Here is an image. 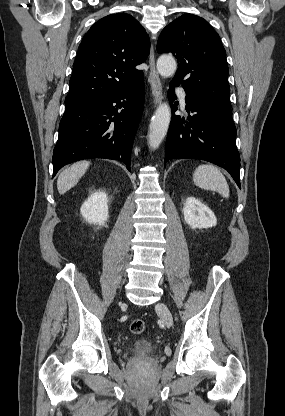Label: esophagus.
I'll list each match as a JSON object with an SVG mask.
<instances>
[{
	"label": "esophagus",
	"mask_w": 285,
	"mask_h": 416,
	"mask_svg": "<svg viewBox=\"0 0 285 416\" xmlns=\"http://www.w3.org/2000/svg\"><path fill=\"white\" fill-rule=\"evenodd\" d=\"M148 83L150 84L153 103L154 105H158L163 98V91H162L161 80L156 70L153 47L151 48V52L149 56Z\"/></svg>",
	"instance_id": "obj_1"
}]
</instances>
